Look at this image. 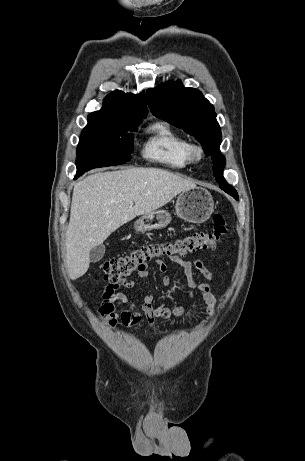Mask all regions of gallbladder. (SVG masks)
Returning a JSON list of instances; mask_svg holds the SVG:
<instances>
[{
  "mask_svg": "<svg viewBox=\"0 0 305 461\" xmlns=\"http://www.w3.org/2000/svg\"><path fill=\"white\" fill-rule=\"evenodd\" d=\"M105 253V246L103 244L97 245L91 249L89 253V259L91 262L95 263L102 259Z\"/></svg>",
  "mask_w": 305,
  "mask_h": 461,
  "instance_id": "1",
  "label": "gallbladder"
}]
</instances>
